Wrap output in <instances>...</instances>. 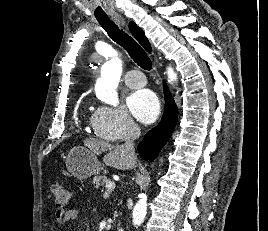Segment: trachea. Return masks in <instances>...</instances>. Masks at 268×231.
<instances>
[{
    "label": "trachea",
    "instance_id": "trachea-1",
    "mask_svg": "<svg viewBox=\"0 0 268 231\" xmlns=\"http://www.w3.org/2000/svg\"><path fill=\"white\" fill-rule=\"evenodd\" d=\"M108 36L117 44L122 46L133 59V61L144 70H151L152 62L143 48L125 31L111 21L109 18L97 19Z\"/></svg>",
    "mask_w": 268,
    "mask_h": 231
}]
</instances>
